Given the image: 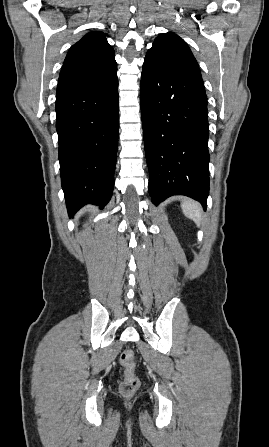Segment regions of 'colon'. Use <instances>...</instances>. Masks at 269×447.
Segmentation results:
<instances>
[{
    "instance_id": "1",
    "label": "colon",
    "mask_w": 269,
    "mask_h": 447,
    "mask_svg": "<svg viewBox=\"0 0 269 447\" xmlns=\"http://www.w3.org/2000/svg\"><path fill=\"white\" fill-rule=\"evenodd\" d=\"M120 363L124 367V378L120 384V393L123 396H131L142 385V380L138 378L136 373L134 352L130 349L124 350L120 354Z\"/></svg>"
}]
</instances>
